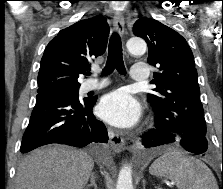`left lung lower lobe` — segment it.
<instances>
[{
	"mask_svg": "<svg viewBox=\"0 0 223 189\" xmlns=\"http://www.w3.org/2000/svg\"><path fill=\"white\" fill-rule=\"evenodd\" d=\"M156 129L146 132L143 138V145L146 148L178 142L184 149L195 154H203L207 151L208 144L205 136L191 132H171L166 131L155 119Z\"/></svg>",
	"mask_w": 223,
	"mask_h": 189,
	"instance_id": "left-lung-lower-lobe-1",
	"label": "left lung lower lobe"
}]
</instances>
